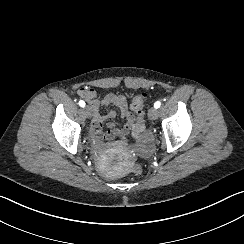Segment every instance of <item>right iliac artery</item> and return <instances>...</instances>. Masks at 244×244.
Listing matches in <instances>:
<instances>
[{
	"mask_svg": "<svg viewBox=\"0 0 244 244\" xmlns=\"http://www.w3.org/2000/svg\"><path fill=\"white\" fill-rule=\"evenodd\" d=\"M79 105H80L81 107H84V106H85V102H84L83 100H80V101H79Z\"/></svg>",
	"mask_w": 244,
	"mask_h": 244,
	"instance_id": "right-iliac-artery-1",
	"label": "right iliac artery"
}]
</instances>
